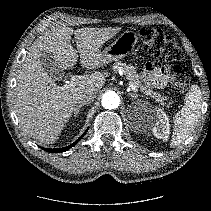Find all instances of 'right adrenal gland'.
Returning a JSON list of instances; mask_svg holds the SVG:
<instances>
[{
    "label": "right adrenal gland",
    "instance_id": "1",
    "mask_svg": "<svg viewBox=\"0 0 211 211\" xmlns=\"http://www.w3.org/2000/svg\"><path fill=\"white\" fill-rule=\"evenodd\" d=\"M83 105H77L76 108L74 109V117H76L79 113V110L80 108L82 107Z\"/></svg>",
    "mask_w": 211,
    "mask_h": 211
}]
</instances>
